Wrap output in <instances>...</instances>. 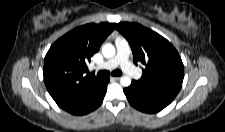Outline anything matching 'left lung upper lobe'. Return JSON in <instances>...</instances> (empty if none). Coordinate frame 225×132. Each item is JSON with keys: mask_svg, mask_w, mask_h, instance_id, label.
Wrapping results in <instances>:
<instances>
[{"mask_svg": "<svg viewBox=\"0 0 225 132\" xmlns=\"http://www.w3.org/2000/svg\"><path fill=\"white\" fill-rule=\"evenodd\" d=\"M117 30L128 40L134 63L145 65L140 85L178 93L184 78L182 60L173 45L158 33L138 24L120 22Z\"/></svg>", "mask_w": 225, "mask_h": 132, "instance_id": "obj_1", "label": "left lung upper lobe"}]
</instances>
